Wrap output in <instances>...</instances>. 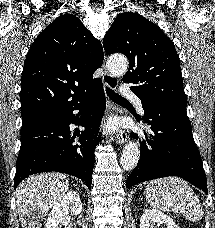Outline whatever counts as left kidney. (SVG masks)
Masks as SVG:
<instances>
[{
  "instance_id": "left-kidney-1",
  "label": "left kidney",
  "mask_w": 215,
  "mask_h": 228,
  "mask_svg": "<svg viewBox=\"0 0 215 228\" xmlns=\"http://www.w3.org/2000/svg\"><path fill=\"white\" fill-rule=\"evenodd\" d=\"M179 228L170 216L162 214L159 210H145L140 218V228Z\"/></svg>"
}]
</instances>
